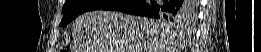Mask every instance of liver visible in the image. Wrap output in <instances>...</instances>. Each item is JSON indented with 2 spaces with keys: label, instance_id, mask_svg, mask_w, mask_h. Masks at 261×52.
<instances>
[{
  "label": "liver",
  "instance_id": "liver-1",
  "mask_svg": "<svg viewBox=\"0 0 261 52\" xmlns=\"http://www.w3.org/2000/svg\"><path fill=\"white\" fill-rule=\"evenodd\" d=\"M177 36L165 21L91 11L73 23L72 52H178Z\"/></svg>",
  "mask_w": 261,
  "mask_h": 52
}]
</instances>
